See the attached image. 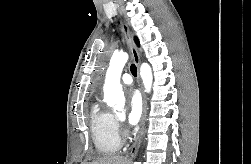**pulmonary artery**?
Listing matches in <instances>:
<instances>
[{
    "label": "pulmonary artery",
    "mask_w": 251,
    "mask_h": 164,
    "mask_svg": "<svg viewBox=\"0 0 251 164\" xmlns=\"http://www.w3.org/2000/svg\"><path fill=\"white\" fill-rule=\"evenodd\" d=\"M121 80L124 84H127V85L132 84V81H133L131 75L128 73L123 74L121 77Z\"/></svg>",
    "instance_id": "e3ab8cb5"
}]
</instances>
